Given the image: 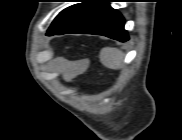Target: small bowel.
<instances>
[{"mask_svg":"<svg viewBox=\"0 0 182 140\" xmlns=\"http://www.w3.org/2000/svg\"><path fill=\"white\" fill-rule=\"evenodd\" d=\"M83 68L82 67H79L75 70H72V71H68L65 73V79L66 80H72L77 74H79L80 72H82Z\"/></svg>","mask_w":182,"mask_h":140,"instance_id":"1","label":"small bowel"}]
</instances>
